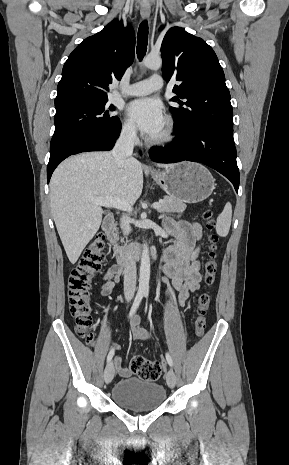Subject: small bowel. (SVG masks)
Returning a JSON list of instances; mask_svg holds the SVG:
<instances>
[{"label":"small bowel","instance_id":"small-bowel-1","mask_svg":"<svg viewBox=\"0 0 289 465\" xmlns=\"http://www.w3.org/2000/svg\"><path fill=\"white\" fill-rule=\"evenodd\" d=\"M165 230L176 237L177 242L169 246L162 255L163 280L169 284V295H177L181 304L185 303L190 294L200 289L201 273L200 263L197 260L202 230L198 223L167 219L164 222ZM122 270L112 264L103 274L104 283L100 288L103 296L109 295L116 283L120 281ZM131 333L136 340H147L148 331L141 327V317L136 315L131 320ZM114 366L118 374L128 377L130 369L122 365L120 356L114 357Z\"/></svg>","mask_w":289,"mask_h":465}]
</instances>
